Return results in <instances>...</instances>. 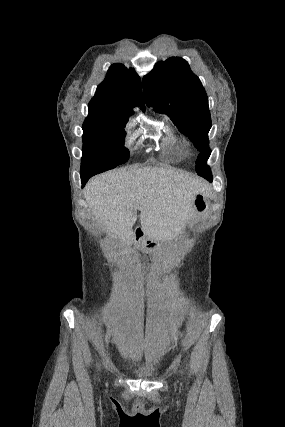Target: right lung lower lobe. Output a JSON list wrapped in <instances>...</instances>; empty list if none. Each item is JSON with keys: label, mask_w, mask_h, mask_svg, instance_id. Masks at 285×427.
Instances as JSON below:
<instances>
[{"label": "right lung lower lobe", "mask_w": 285, "mask_h": 427, "mask_svg": "<svg viewBox=\"0 0 285 427\" xmlns=\"http://www.w3.org/2000/svg\"><path fill=\"white\" fill-rule=\"evenodd\" d=\"M95 172H90V173H81V180H82V185L84 186L85 183L88 181V179L90 177H92L93 175H95Z\"/></svg>", "instance_id": "right-lung-lower-lobe-1"}]
</instances>
